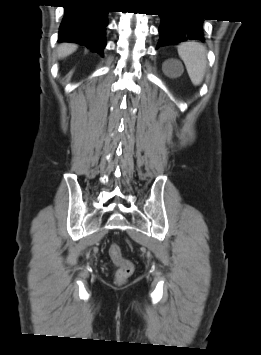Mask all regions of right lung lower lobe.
I'll return each mask as SVG.
<instances>
[{"label":"right lung lower lobe","instance_id":"1","mask_svg":"<svg viewBox=\"0 0 261 355\" xmlns=\"http://www.w3.org/2000/svg\"><path fill=\"white\" fill-rule=\"evenodd\" d=\"M101 6L100 0H74L66 5L58 40L83 44L103 55L108 11Z\"/></svg>","mask_w":261,"mask_h":355}]
</instances>
